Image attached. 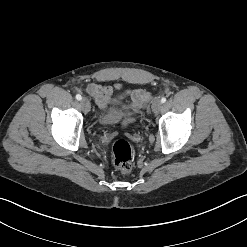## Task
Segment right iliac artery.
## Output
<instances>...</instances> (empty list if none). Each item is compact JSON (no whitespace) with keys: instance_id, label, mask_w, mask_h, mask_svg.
Segmentation results:
<instances>
[{"instance_id":"82829eb1","label":"right iliac artery","mask_w":247,"mask_h":247,"mask_svg":"<svg viewBox=\"0 0 247 247\" xmlns=\"http://www.w3.org/2000/svg\"><path fill=\"white\" fill-rule=\"evenodd\" d=\"M76 99L80 101L82 99L81 95L80 94H77L76 95Z\"/></svg>"}]
</instances>
